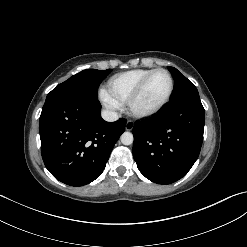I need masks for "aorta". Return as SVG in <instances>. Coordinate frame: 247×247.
Listing matches in <instances>:
<instances>
[{"instance_id":"762f6f07","label":"aorta","mask_w":247,"mask_h":247,"mask_svg":"<svg viewBox=\"0 0 247 247\" xmlns=\"http://www.w3.org/2000/svg\"><path fill=\"white\" fill-rule=\"evenodd\" d=\"M121 143L123 145H131L133 143L134 137L130 132H124L120 137Z\"/></svg>"}]
</instances>
